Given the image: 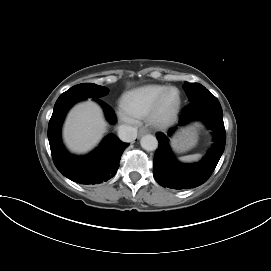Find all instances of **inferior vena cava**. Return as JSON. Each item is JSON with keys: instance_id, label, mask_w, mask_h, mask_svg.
Masks as SVG:
<instances>
[{"instance_id": "obj_1", "label": "inferior vena cava", "mask_w": 271, "mask_h": 271, "mask_svg": "<svg viewBox=\"0 0 271 271\" xmlns=\"http://www.w3.org/2000/svg\"><path fill=\"white\" fill-rule=\"evenodd\" d=\"M118 136L123 142H132L137 137V129L129 125H121L118 127Z\"/></svg>"}]
</instances>
